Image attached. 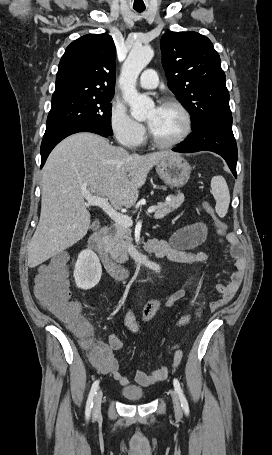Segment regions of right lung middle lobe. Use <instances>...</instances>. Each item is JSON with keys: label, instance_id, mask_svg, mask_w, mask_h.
I'll list each match as a JSON object with an SVG mask.
<instances>
[{"label": "right lung middle lobe", "instance_id": "obj_1", "mask_svg": "<svg viewBox=\"0 0 272 455\" xmlns=\"http://www.w3.org/2000/svg\"><path fill=\"white\" fill-rule=\"evenodd\" d=\"M112 98L113 95H104L52 100L46 130L65 125L92 124L112 135Z\"/></svg>", "mask_w": 272, "mask_h": 455}]
</instances>
